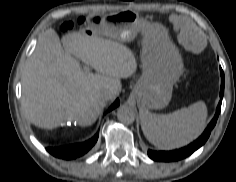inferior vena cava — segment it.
I'll list each match as a JSON object with an SVG mask.
<instances>
[{"mask_svg": "<svg viewBox=\"0 0 236 182\" xmlns=\"http://www.w3.org/2000/svg\"><path fill=\"white\" fill-rule=\"evenodd\" d=\"M100 98L103 100H109L112 98V92L109 90H102L99 94Z\"/></svg>", "mask_w": 236, "mask_h": 182, "instance_id": "602c4592", "label": "inferior vena cava"}]
</instances>
